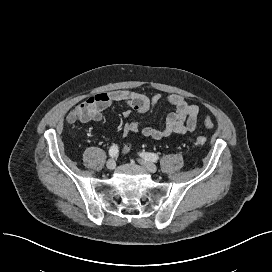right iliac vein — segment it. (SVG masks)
<instances>
[{
	"label": "right iliac vein",
	"instance_id": "63e3f726",
	"mask_svg": "<svg viewBox=\"0 0 272 272\" xmlns=\"http://www.w3.org/2000/svg\"><path fill=\"white\" fill-rule=\"evenodd\" d=\"M106 167L108 170H114L116 167V162L114 159H109L106 163Z\"/></svg>",
	"mask_w": 272,
	"mask_h": 272
}]
</instances>
